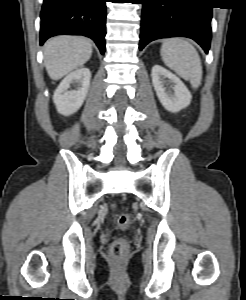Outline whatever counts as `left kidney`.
<instances>
[{"label": "left kidney", "instance_id": "obj_1", "mask_svg": "<svg viewBox=\"0 0 246 300\" xmlns=\"http://www.w3.org/2000/svg\"><path fill=\"white\" fill-rule=\"evenodd\" d=\"M151 77L156 94L166 110L177 113L190 104L192 95L175 74L160 65H154Z\"/></svg>", "mask_w": 246, "mask_h": 300}]
</instances>
